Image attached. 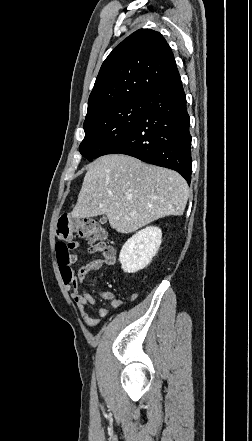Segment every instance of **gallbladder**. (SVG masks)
<instances>
[{"label": "gallbladder", "instance_id": "bac80fb5", "mask_svg": "<svg viewBox=\"0 0 252 441\" xmlns=\"http://www.w3.org/2000/svg\"><path fill=\"white\" fill-rule=\"evenodd\" d=\"M99 222H100L101 224H105V223L107 222V217H105V216L101 217L100 220H99Z\"/></svg>", "mask_w": 252, "mask_h": 441}]
</instances>
